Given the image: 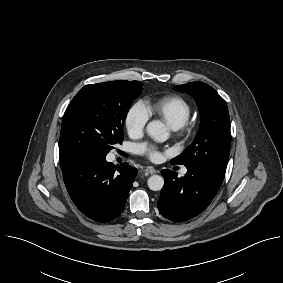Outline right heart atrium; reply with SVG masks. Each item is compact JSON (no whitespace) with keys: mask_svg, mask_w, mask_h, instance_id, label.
I'll list each match as a JSON object with an SVG mask.
<instances>
[{"mask_svg":"<svg viewBox=\"0 0 283 283\" xmlns=\"http://www.w3.org/2000/svg\"><path fill=\"white\" fill-rule=\"evenodd\" d=\"M149 115L141 102L134 103L128 110L125 117V126L132 138L140 137L146 127Z\"/></svg>","mask_w":283,"mask_h":283,"instance_id":"1","label":"right heart atrium"}]
</instances>
